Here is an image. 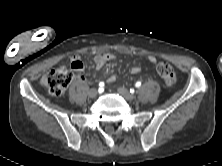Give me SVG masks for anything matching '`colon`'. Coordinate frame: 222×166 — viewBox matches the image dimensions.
Instances as JSON below:
<instances>
[{"mask_svg": "<svg viewBox=\"0 0 222 166\" xmlns=\"http://www.w3.org/2000/svg\"><path fill=\"white\" fill-rule=\"evenodd\" d=\"M157 72L167 87H172L177 81L176 71L167 62L157 65ZM73 80V73L66 67H60L47 72L41 78V84L54 96L62 95Z\"/></svg>", "mask_w": 222, "mask_h": 166, "instance_id": "1", "label": "colon"}]
</instances>
